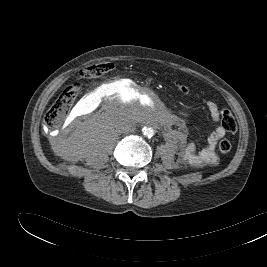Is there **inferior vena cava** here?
I'll use <instances>...</instances> for the list:
<instances>
[{
    "instance_id": "obj_1",
    "label": "inferior vena cava",
    "mask_w": 267,
    "mask_h": 267,
    "mask_svg": "<svg viewBox=\"0 0 267 267\" xmlns=\"http://www.w3.org/2000/svg\"><path fill=\"white\" fill-rule=\"evenodd\" d=\"M117 129L119 132L130 133V132H133L135 130V127L129 121H123L120 124H118Z\"/></svg>"
}]
</instances>
